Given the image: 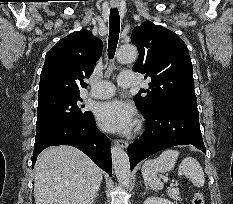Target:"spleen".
<instances>
[{
	"mask_svg": "<svg viewBox=\"0 0 233 204\" xmlns=\"http://www.w3.org/2000/svg\"><path fill=\"white\" fill-rule=\"evenodd\" d=\"M180 152L174 149L163 151L158 158L149 159L142 166V176L145 185L153 190L162 189L163 183L158 178V173L169 172L174 169L176 160ZM178 175L189 177L194 186L200 188L204 186L205 177L200 163L193 157H186L179 165Z\"/></svg>",
	"mask_w": 233,
	"mask_h": 204,
	"instance_id": "spleen-1",
	"label": "spleen"
}]
</instances>
